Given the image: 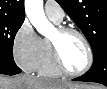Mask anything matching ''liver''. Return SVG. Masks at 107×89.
<instances>
[{
    "label": "liver",
    "mask_w": 107,
    "mask_h": 89,
    "mask_svg": "<svg viewBox=\"0 0 107 89\" xmlns=\"http://www.w3.org/2000/svg\"><path fill=\"white\" fill-rule=\"evenodd\" d=\"M69 86L79 89H104L100 85L72 84L30 74H21L14 77L0 76V89H66Z\"/></svg>",
    "instance_id": "6515ba94"
}]
</instances>
